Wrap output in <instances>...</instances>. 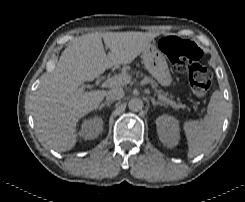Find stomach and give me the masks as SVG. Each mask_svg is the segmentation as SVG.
Wrapping results in <instances>:
<instances>
[{
	"label": "stomach",
	"mask_w": 245,
	"mask_h": 202,
	"mask_svg": "<svg viewBox=\"0 0 245 202\" xmlns=\"http://www.w3.org/2000/svg\"><path fill=\"white\" fill-rule=\"evenodd\" d=\"M142 59L147 71L163 86L171 85L173 79L164 54L157 46L150 44L143 52Z\"/></svg>",
	"instance_id": "obj_1"
}]
</instances>
